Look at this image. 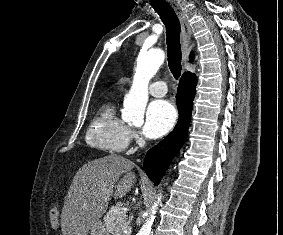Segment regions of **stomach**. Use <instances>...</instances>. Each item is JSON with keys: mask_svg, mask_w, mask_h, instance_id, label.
Wrapping results in <instances>:
<instances>
[{"mask_svg": "<svg viewBox=\"0 0 283 235\" xmlns=\"http://www.w3.org/2000/svg\"><path fill=\"white\" fill-rule=\"evenodd\" d=\"M89 235H108L105 225L99 220L90 229Z\"/></svg>", "mask_w": 283, "mask_h": 235, "instance_id": "stomach-1", "label": "stomach"}]
</instances>
